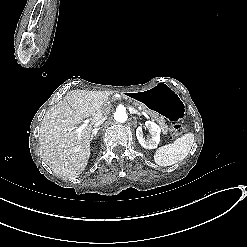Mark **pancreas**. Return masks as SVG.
<instances>
[{"instance_id": "cf45deb5", "label": "pancreas", "mask_w": 247, "mask_h": 247, "mask_svg": "<svg viewBox=\"0 0 247 247\" xmlns=\"http://www.w3.org/2000/svg\"><path fill=\"white\" fill-rule=\"evenodd\" d=\"M128 102L132 103V99H128ZM134 106H137V103H134ZM141 108H144L146 113H148L149 115L154 117L156 121H158L163 135H166L168 133L169 128L167 126V122L162 118L161 114L144 105H141Z\"/></svg>"}]
</instances>
